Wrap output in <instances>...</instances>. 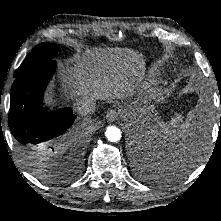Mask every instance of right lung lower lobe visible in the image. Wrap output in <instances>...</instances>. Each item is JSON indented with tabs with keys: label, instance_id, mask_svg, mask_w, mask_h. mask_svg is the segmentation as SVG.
Returning a JSON list of instances; mask_svg holds the SVG:
<instances>
[{
	"label": "right lung lower lobe",
	"instance_id": "obj_1",
	"mask_svg": "<svg viewBox=\"0 0 221 221\" xmlns=\"http://www.w3.org/2000/svg\"><path fill=\"white\" fill-rule=\"evenodd\" d=\"M54 70L55 62L46 61L15 78L12 85L8 124L25 154H33L37 144L63 135L76 118L70 108L48 112L42 106Z\"/></svg>",
	"mask_w": 221,
	"mask_h": 221
}]
</instances>
